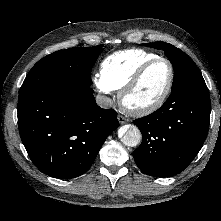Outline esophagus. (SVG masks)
<instances>
[{
  "mask_svg": "<svg viewBox=\"0 0 221 221\" xmlns=\"http://www.w3.org/2000/svg\"><path fill=\"white\" fill-rule=\"evenodd\" d=\"M118 121H119L120 124H124V123L128 122V119L125 118L124 116L119 115L118 116Z\"/></svg>",
  "mask_w": 221,
  "mask_h": 221,
  "instance_id": "34e87169",
  "label": "esophagus"
}]
</instances>
